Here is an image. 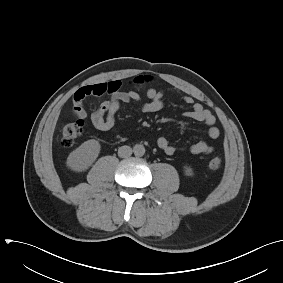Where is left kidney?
Instances as JSON below:
<instances>
[{"label":"left kidney","mask_w":283,"mask_h":283,"mask_svg":"<svg viewBox=\"0 0 283 283\" xmlns=\"http://www.w3.org/2000/svg\"><path fill=\"white\" fill-rule=\"evenodd\" d=\"M184 172H185V174H186L187 176H192V175H193V170H192V168L189 167V166H185V167H184Z\"/></svg>","instance_id":"1"}]
</instances>
